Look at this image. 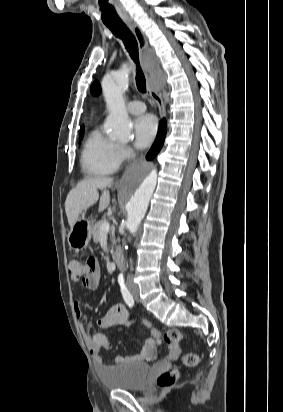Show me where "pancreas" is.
<instances>
[{"instance_id": "obj_1", "label": "pancreas", "mask_w": 283, "mask_h": 412, "mask_svg": "<svg viewBox=\"0 0 283 412\" xmlns=\"http://www.w3.org/2000/svg\"><path fill=\"white\" fill-rule=\"evenodd\" d=\"M105 220H100L97 223L94 224L93 228H92V236H93V241L95 243H98L100 241L101 238V226L103 223H105ZM111 234V238H112V244L114 245L115 243V233H114V229H112L110 231Z\"/></svg>"}]
</instances>
